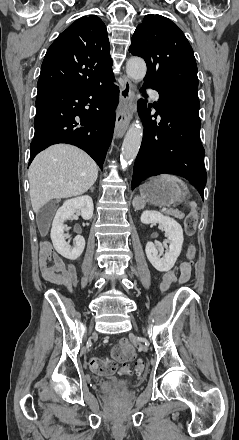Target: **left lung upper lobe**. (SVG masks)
<instances>
[{
  "label": "left lung upper lobe",
  "instance_id": "1",
  "mask_svg": "<svg viewBox=\"0 0 239 440\" xmlns=\"http://www.w3.org/2000/svg\"><path fill=\"white\" fill-rule=\"evenodd\" d=\"M129 51L147 64L144 81L157 86L198 87L194 52L180 28L161 15L148 14L132 37Z\"/></svg>",
  "mask_w": 239,
  "mask_h": 440
}]
</instances>
